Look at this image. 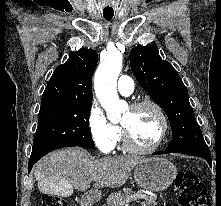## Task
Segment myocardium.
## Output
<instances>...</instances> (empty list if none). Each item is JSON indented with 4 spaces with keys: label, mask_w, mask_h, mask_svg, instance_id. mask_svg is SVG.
<instances>
[{
    "label": "myocardium",
    "mask_w": 221,
    "mask_h": 206,
    "mask_svg": "<svg viewBox=\"0 0 221 206\" xmlns=\"http://www.w3.org/2000/svg\"><path fill=\"white\" fill-rule=\"evenodd\" d=\"M143 106H150L156 111L161 121V130H160L159 137L157 138V140L155 141L153 145L149 147H138L133 142L128 130L121 124L124 147L129 152H132L135 154H149V153L156 151L162 145L168 133V127H169L168 119L166 117V114L163 108L156 101L149 99V98L141 99V100L133 102L129 108L131 110H135Z\"/></svg>",
    "instance_id": "myocardium-1"
}]
</instances>
